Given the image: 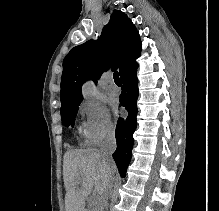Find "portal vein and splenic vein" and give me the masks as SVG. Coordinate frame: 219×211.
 <instances>
[{"label": "portal vein and splenic vein", "instance_id": "portal-vein-and-splenic-vein-1", "mask_svg": "<svg viewBox=\"0 0 219 211\" xmlns=\"http://www.w3.org/2000/svg\"><path fill=\"white\" fill-rule=\"evenodd\" d=\"M90 201H92V203H94V199H90Z\"/></svg>", "mask_w": 219, "mask_h": 211}]
</instances>
